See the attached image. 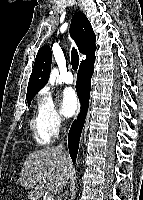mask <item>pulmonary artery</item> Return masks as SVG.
Wrapping results in <instances>:
<instances>
[{
    "label": "pulmonary artery",
    "mask_w": 143,
    "mask_h": 200,
    "mask_svg": "<svg viewBox=\"0 0 143 200\" xmlns=\"http://www.w3.org/2000/svg\"><path fill=\"white\" fill-rule=\"evenodd\" d=\"M62 80L65 84H72L74 81V77H73L72 73L70 71H68L63 75Z\"/></svg>",
    "instance_id": "pulmonary-artery-1"
}]
</instances>
